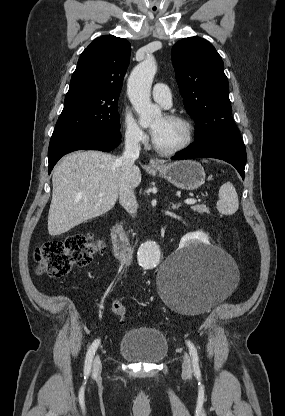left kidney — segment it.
I'll return each mask as SVG.
<instances>
[{
    "label": "left kidney",
    "mask_w": 285,
    "mask_h": 416,
    "mask_svg": "<svg viewBox=\"0 0 285 416\" xmlns=\"http://www.w3.org/2000/svg\"><path fill=\"white\" fill-rule=\"evenodd\" d=\"M194 236H196L197 240L203 242V244H209L208 236L204 232H194Z\"/></svg>",
    "instance_id": "obj_1"
}]
</instances>
